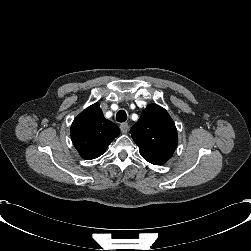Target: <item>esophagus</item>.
Masks as SVG:
<instances>
[{"label": "esophagus", "mask_w": 251, "mask_h": 251, "mask_svg": "<svg viewBox=\"0 0 251 251\" xmlns=\"http://www.w3.org/2000/svg\"><path fill=\"white\" fill-rule=\"evenodd\" d=\"M120 130L122 131L123 134H126L128 132V130H129L128 123L120 124Z\"/></svg>", "instance_id": "obj_1"}]
</instances>
